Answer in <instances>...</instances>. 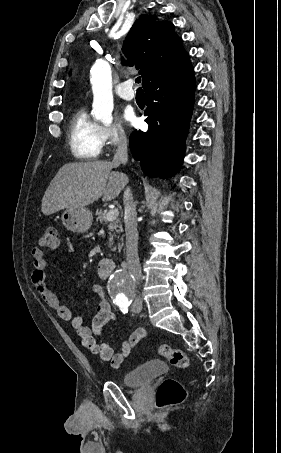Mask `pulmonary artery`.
Instances as JSON below:
<instances>
[{"label":"pulmonary artery","mask_w":281,"mask_h":453,"mask_svg":"<svg viewBox=\"0 0 281 453\" xmlns=\"http://www.w3.org/2000/svg\"><path fill=\"white\" fill-rule=\"evenodd\" d=\"M115 93L119 97L127 100H131L135 97V92L131 89V81H126L116 85Z\"/></svg>","instance_id":"obj_1"}]
</instances>
